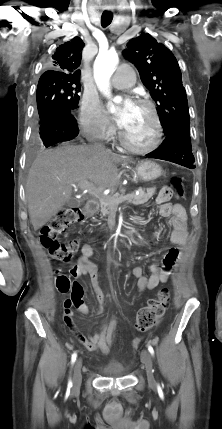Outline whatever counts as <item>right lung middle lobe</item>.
Segmentation results:
<instances>
[{"mask_svg": "<svg viewBox=\"0 0 222 429\" xmlns=\"http://www.w3.org/2000/svg\"><path fill=\"white\" fill-rule=\"evenodd\" d=\"M80 81L70 79L39 80L36 92L39 124L54 111L72 112L78 107Z\"/></svg>", "mask_w": 222, "mask_h": 429, "instance_id": "obj_1", "label": "right lung middle lobe"}]
</instances>
